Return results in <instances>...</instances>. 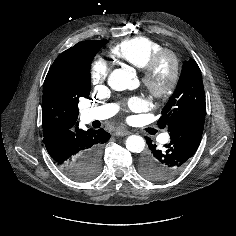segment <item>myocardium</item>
Instances as JSON below:
<instances>
[{
	"mask_svg": "<svg viewBox=\"0 0 236 236\" xmlns=\"http://www.w3.org/2000/svg\"><path fill=\"white\" fill-rule=\"evenodd\" d=\"M168 60L171 65L169 79L165 84L160 83L156 74L161 64ZM181 74L179 55L171 49H161L156 52L141 68V80L150 94L157 99H167L175 91Z\"/></svg>",
	"mask_w": 236,
	"mask_h": 236,
	"instance_id": "obj_1",
	"label": "myocardium"
}]
</instances>
